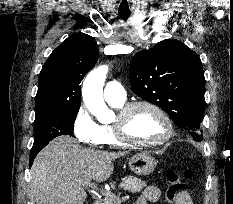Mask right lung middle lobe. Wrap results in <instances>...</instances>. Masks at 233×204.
<instances>
[{"instance_id":"right-lung-middle-lobe-1","label":"right lung middle lobe","mask_w":233,"mask_h":204,"mask_svg":"<svg viewBox=\"0 0 233 204\" xmlns=\"http://www.w3.org/2000/svg\"><path fill=\"white\" fill-rule=\"evenodd\" d=\"M79 108L51 110L36 114L34 121L33 147H45L60 135H72Z\"/></svg>"}]
</instances>
